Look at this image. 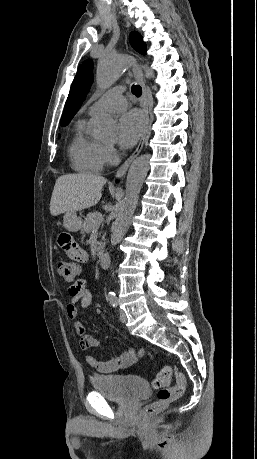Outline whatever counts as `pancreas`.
Returning <instances> with one entry per match:
<instances>
[{
  "label": "pancreas",
  "instance_id": "1",
  "mask_svg": "<svg viewBox=\"0 0 257 459\" xmlns=\"http://www.w3.org/2000/svg\"><path fill=\"white\" fill-rule=\"evenodd\" d=\"M98 214L99 213L97 211L90 212L89 214H87L82 224V229H81L82 234H90L94 228H97L99 226V224L95 223V220ZM98 245H99L98 249L100 250L103 246V243L98 242Z\"/></svg>",
  "mask_w": 257,
  "mask_h": 459
}]
</instances>
